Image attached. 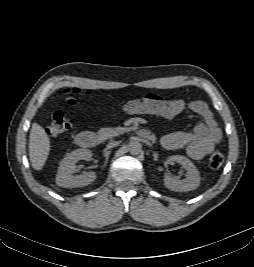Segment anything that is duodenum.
I'll return each instance as SVG.
<instances>
[{
    "label": "duodenum",
    "mask_w": 254,
    "mask_h": 267,
    "mask_svg": "<svg viewBox=\"0 0 254 267\" xmlns=\"http://www.w3.org/2000/svg\"><path fill=\"white\" fill-rule=\"evenodd\" d=\"M137 134L147 140V141H154L155 140V135L146 129H139L137 131ZM76 143L80 147L83 148H93L96 147L100 143V137L92 132V131H81L76 135Z\"/></svg>",
    "instance_id": "duodenum-1"
}]
</instances>
